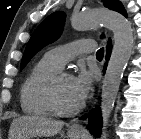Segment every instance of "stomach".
<instances>
[{"instance_id": "0dacf381", "label": "stomach", "mask_w": 141, "mask_h": 139, "mask_svg": "<svg viewBox=\"0 0 141 139\" xmlns=\"http://www.w3.org/2000/svg\"><path fill=\"white\" fill-rule=\"evenodd\" d=\"M80 137H81L80 133H74V132H71V131L68 132V138L69 139H80Z\"/></svg>"}]
</instances>
